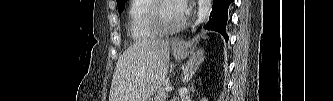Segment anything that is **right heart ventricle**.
Here are the masks:
<instances>
[{"instance_id":"right-heart-ventricle-1","label":"right heart ventricle","mask_w":333,"mask_h":101,"mask_svg":"<svg viewBox=\"0 0 333 101\" xmlns=\"http://www.w3.org/2000/svg\"><path fill=\"white\" fill-rule=\"evenodd\" d=\"M153 0H133L129 10L128 30L135 41H148L157 37L149 26L147 14Z\"/></svg>"}]
</instances>
